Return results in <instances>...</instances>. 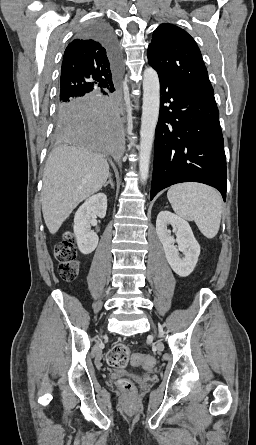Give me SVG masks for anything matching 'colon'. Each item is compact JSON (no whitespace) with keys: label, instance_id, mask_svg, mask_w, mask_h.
<instances>
[{"label":"colon","instance_id":"obj_1","mask_svg":"<svg viewBox=\"0 0 256 445\" xmlns=\"http://www.w3.org/2000/svg\"><path fill=\"white\" fill-rule=\"evenodd\" d=\"M55 255L60 262L59 271L62 278L71 281L78 274V262L76 260V248L71 234H66L64 239L55 247ZM106 361L109 366L114 368H124L132 361L136 365L153 363L151 357L145 354L133 355L131 347L128 344L119 343L114 345L106 355ZM118 388L126 393L133 394L135 386L129 379H121L117 383Z\"/></svg>","mask_w":256,"mask_h":445}]
</instances>
